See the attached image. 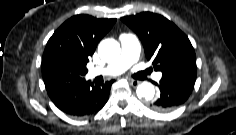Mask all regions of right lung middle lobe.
Wrapping results in <instances>:
<instances>
[{"label":"right lung middle lobe","instance_id":"obj_1","mask_svg":"<svg viewBox=\"0 0 236 135\" xmlns=\"http://www.w3.org/2000/svg\"><path fill=\"white\" fill-rule=\"evenodd\" d=\"M42 69H56L69 73L84 76L87 73L86 65H80L68 57L55 55L46 63L42 64Z\"/></svg>","mask_w":236,"mask_h":135}]
</instances>
